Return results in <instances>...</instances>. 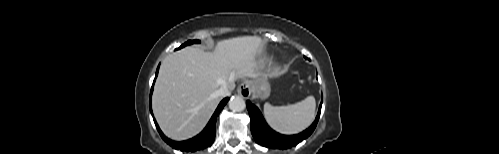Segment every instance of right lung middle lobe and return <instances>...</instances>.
<instances>
[{
  "label": "right lung middle lobe",
  "instance_id": "1",
  "mask_svg": "<svg viewBox=\"0 0 499 154\" xmlns=\"http://www.w3.org/2000/svg\"><path fill=\"white\" fill-rule=\"evenodd\" d=\"M199 42H200L199 40H190V41H187L186 43H184L183 45H181L180 48L187 46V45H190V44L199 43Z\"/></svg>",
  "mask_w": 499,
  "mask_h": 154
}]
</instances>
